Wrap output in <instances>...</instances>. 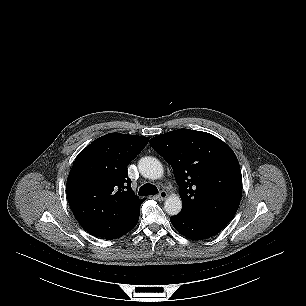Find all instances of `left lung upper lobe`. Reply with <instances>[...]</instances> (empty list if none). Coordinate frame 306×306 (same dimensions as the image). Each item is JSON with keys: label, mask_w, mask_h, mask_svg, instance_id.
<instances>
[{"label": "left lung upper lobe", "mask_w": 306, "mask_h": 306, "mask_svg": "<svg viewBox=\"0 0 306 306\" xmlns=\"http://www.w3.org/2000/svg\"><path fill=\"white\" fill-rule=\"evenodd\" d=\"M172 166L181 212L194 217L229 222L242 195L238 159L219 138L202 131L178 129L150 140Z\"/></svg>", "instance_id": "5c2ea615"}]
</instances>
